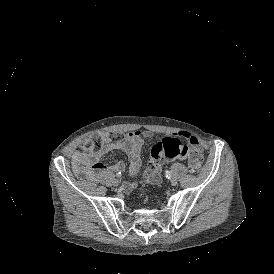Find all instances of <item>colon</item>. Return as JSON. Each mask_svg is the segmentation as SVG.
<instances>
[{
	"mask_svg": "<svg viewBox=\"0 0 274 274\" xmlns=\"http://www.w3.org/2000/svg\"><path fill=\"white\" fill-rule=\"evenodd\" d=\"M106 143V134L97 132L86 137L82 142L83 150L90 155H98ZM191 167H199L202 162V154L199 151H191L188 155Z\"/></svg>",
	"mask_w": 274,
	"mask_h": 274,
	"instance_id": "colon-1",
	"label": "colon"
}]
</instances>
